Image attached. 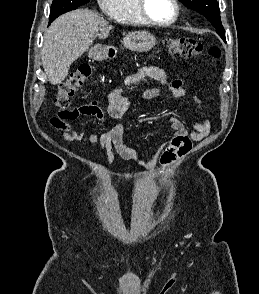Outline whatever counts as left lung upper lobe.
<instances>
[{
	"label": "left lung upper lobe",
	"instance_id": "left-lung-upper-lobe-1",
	"mask_svg": "<svg viewBox=\"0 0 259 294\" xmlns=\"http://www.w3.org/2000/svg\"><path fill=\"white\" fill-rule=\"evenodd\" d=\"M186 7L204 15L216 28L218 35L224 39L225 30L220 19L219 4L216 0H179Z\"/></svg>",
	"mask_w": 259,
	"mask_h": 294
}]
</instances>
